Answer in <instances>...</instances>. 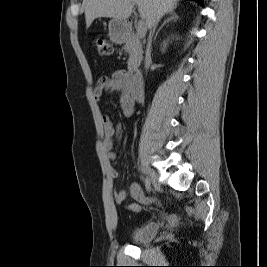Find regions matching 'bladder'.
Wrapping results in <instances>:
<instances>
[{
	"label": "bladder",
	"mask_w": 267,
	"mask_h": 267,
	"mask_svg": "<svg viewBox=\"0 0 267 267\" xmlns=\"http://www.w3.org/2000/svg\"><path fill=\"white\" fill-rule=\"evenodd\" d=\"M159 225L157 223H147L136 230L131 234V241L134 244H145L150 242L159 232Z\"/></svg>",
	"instance_id": "bladder-1"
}]
</instances>
